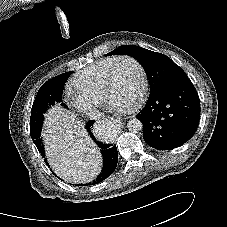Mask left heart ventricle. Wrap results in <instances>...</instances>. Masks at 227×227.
Returning a JSON list of instances; mask_svg holds the SVG:
<instances>
[{
	"label": "left heart ventricle",
	"instance_id": "left-heart-ventricle-1",
	"mask_svg": "<svg viewBox=\"0 0 227 227\" xmlns=\"http://www.w3.org/2000/svg\"><path fill=\"white\" fill-rule=\"evenodd\" d=\"M142 80L138 67L131 61H122L115 73L111 89L112 105L130 106L138 97Z\"/></svg>",
	"mask_w": 227,
	"mask_h": 227
}]
</instances>
